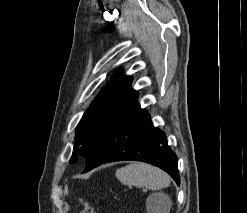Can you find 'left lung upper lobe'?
<instances>
[{
	"mask_svg": "<svg viewBox=\"0 0 247 213\" xmlns=\"http://www.w3.org/2000/svg\"><path fill=\"white\" fill-rule=\"evenodd\" d=\"M131 82V77L118 70L84 113L77 126L71 163L76 162L78 155L86 157L95 141L137 100V93L130 89Z\"/></svg>",
	"mask_w": 247,
	"mask_h": 213,
	"instance_id": "left-lung-upper-lobe-1",
	"label": "left lung upper lobe"
}]
</instances>
